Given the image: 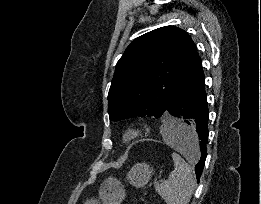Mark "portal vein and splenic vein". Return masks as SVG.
<instances>
[{
    "label": "portal vein and splenic vein",
    "instance_id": "1",
    "mask_svg": "<svg viewBox=\"0 0 261 204\" xmlns=\"http://www.w3.org/2000/svg\"><path fill=\"white\" fill-rule=\"evenodd\" d=\"M159 186V182L158 181H155L154 182V187L157 188Z\"/></svg>",
    "mask_w": 261,
    "mask_h": 204
}]
</instances>
